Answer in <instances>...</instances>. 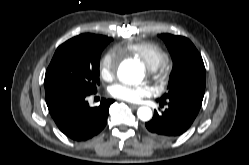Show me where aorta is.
I'll use <instances>...</instances> for the list:
<instances>
[{
  "label": "aorta",
  "instance_id": "1",
  "mask_svg": "<svg viewBox=\"0 0 249 165\" xmlns=\"http://www.w3.org/2000/svg\"><path fill=\"white\" fill-rule=\"evenodd\" d=\"M118 76L126 83L137 84L144 77V68L138 61L125 60L118 68ZM137 116L142 121H149L152 118V110L149 107H140Z\"/></svg>",
  "mask_w": 249,
  "mask_h": 165
}]
</instances>
